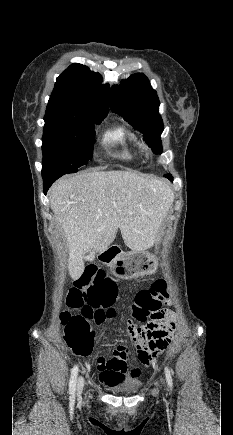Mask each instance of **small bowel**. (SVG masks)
Segmentation results:
<instances>
[{"mask_svg": "<svg viewBox=\"0 0 233 435\" xmlns=\"http://www.w3.org/2000/svg\"><path fill=\"white\" fill-rule=\"evenodd\" d=\"M90 267V266H89ZM119 291V286L114 280L110 283L99 284L93 282L90 286L83 292L84 297L90 298L95 294L101 293L109 297H116ZM165 304L168 300L163 301ZM142 321L139 318H136ZM173 315L170 312H158L149 322L154 329H161L167 325L172 326ZM97 369L99 372V381L103 383L106 387H115L122 385L126 382V377L137 379L140 376V371L137 368L129 370L127 365L124 364L122 357L119 354L113 353L112 356L99 359L97 361Z\"/></svg>", "mask_w": 233, "mask_h": 435, "instance_id": "small-bowel-1", "label": "small bowel"}]
</instances>
